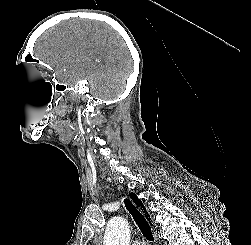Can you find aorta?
<instances>
[{"label": "aorta", "instance_id": "aorta-1", "mask_svg": "<svg viewBox=\"0 0 251 245\" xmlns=\"http://www.w3.org/2000/svg\"><path fill=\"white\" fill-rule=\"evenodd\" d=\"M130 229L122 217L112 218L106 227L103 245H129Z\"/></svg>", "mask_w": 251, "mask_h": 245}]
</instances>
